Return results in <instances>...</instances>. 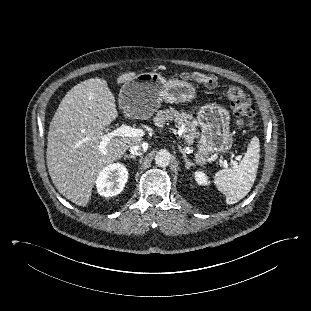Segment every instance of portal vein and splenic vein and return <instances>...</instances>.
I'll list each match as a JSON object with an SVG mask.
<instances>
[{"instance_id":"18ae733b","label":"portal vein and splenic vein","mask_w":311,"mask_h":311,"mask_svg":"<svg viewBox=\"0 0 311 311\" xmlns=\"http://www.w3.org/2000/svg\"><path fill=\"white\" fill-rule=\"evenodd\" d=\"M174 133L178 134L179 136H182V130L177 131L176 129H172ZM144 135V131L141 129L133 128L130 126H127L125 124H122L120 127L101 135V142H100V149L103 151L105 147L108 145L109 141L114 137H141ZM237 159H240V157H237ZM233 165H237L236 161H232ZM222 166L224 168L228 167V164L226 161L223 162Z\"/></svg>"}]
</instances>
